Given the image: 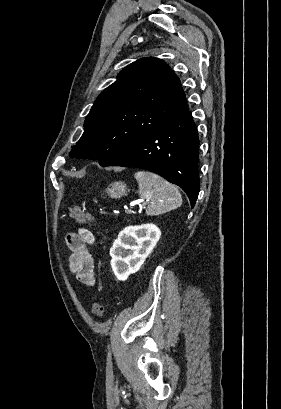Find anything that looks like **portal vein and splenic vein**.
Here are the masks:
<instances>
[{"mask_svg": "<svg viewBox=\"0 0 281 409\" xmlns=\"http://www.w3.org/2000/svg\"><path fill=\"white\" fill-rule=\"evenodd\" d=\"M138 200H145V198H138ZM131 203V202H130ZM131 207V206H130ZM124 213L125 214H132L133 213V210L132 209H125L124 210Z\"/></svg>", "mask_w": 281, "mask_h": 409, "instance_id": "18ae733b", "label": "portal vein and splenic vein"}]
</instances>
